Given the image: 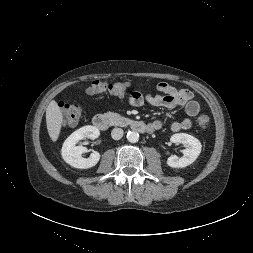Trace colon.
Listing matches in <instances>:
<instances>
[{"mask_svg": "<svg viewBox=\"0 0 253 253\" xmlns=\"http://www.w3.org/2000/svg\"><path fill=\"white\" fill-rule=\"evenodd\" d=\"M126 81L108 82L94 80L87 88L88 94L108 93L115 96H122L128 89ZM62 111V120L65 126L75 125L82 115V108L79 104L59 103ZM196 124L201 129H206L210 124V117L207 114H200L196 118Z\"/></svg>", "mask_w": 253, "mask_h": 253, "instance_id": "obj_1", "label": "colon"}]
</instances>
